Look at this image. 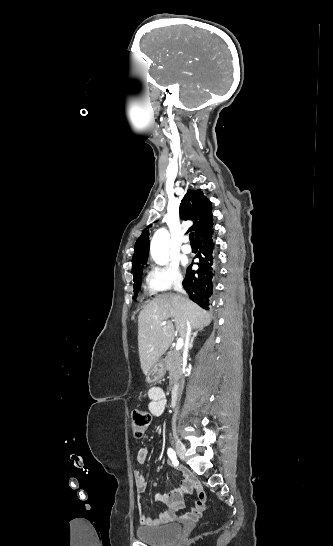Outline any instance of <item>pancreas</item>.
<instances>
[{
    "label": "pancreas",
    "instance_id": "pancreas-1",
    "mask_svg": "<svg viewBox=\"0 0 333 546\" xmlns=\"http://www.w3.org/2000/svg\"><path fill=\"white\" fill-rule=\"evenodd\" d=\"M165 369L169 371L170 385H177L182 376V356L176 350H170L164 359Z\"/></svg>",
    "mask_w": 333,
    "mask_h": 546
}]
</instances>
